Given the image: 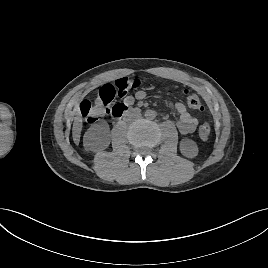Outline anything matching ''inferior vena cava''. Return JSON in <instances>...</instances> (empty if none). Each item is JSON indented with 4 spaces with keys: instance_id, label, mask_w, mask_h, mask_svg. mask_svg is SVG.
Returning a JSON list of instances; mask_svg holds the SVG:
<instances>
[{
    "instance_id": "1",
    "label": "inferior vena cava",
    "mask_w": 268,
    "mask_h": 268,
    "mask_svg": "<svg viewBox=\"0 0 268 268\" xmlns=\"http://www.w3.org/2000/svg\"><path fill=\"white\" fill-rule=\"evenodd\" d=\"M140 117V113L135 111H130L126 114V120H132Z\"/></svg>"
}]
</instances>
